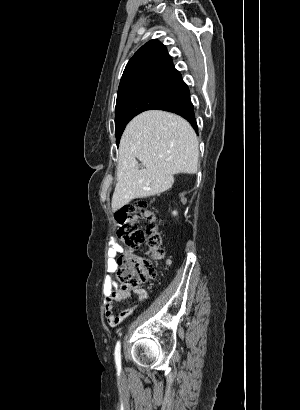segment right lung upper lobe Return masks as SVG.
Returning a JSON list of instances; mask_svg holds the SVG:
<instances>
[{"instance_id":"right-lung-upper-lobe-1","label":"right lung upper lobe","mask_w":300,"mask_h":410,"mask_svg":"<svg viewBox=\"0 0 300 410\" xmlns=\"http://www.w3.org/2000/svg\"><path fill=\"white\" fill-rule=\"evenodd\" d=\"M183 82L166 47L154 39L144 44L127 63L118 92L139 83Z\"/></svg>"}]
</instances>
